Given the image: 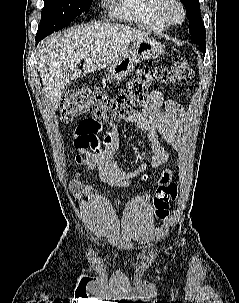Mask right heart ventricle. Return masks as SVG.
Returning a JSON list of instances; mask_svg holds the SVG:
<instances>
[{
    "instance_id": "1",
    "label": "right heart ventricle",
    "mask_w": 239,
    "mask_h": 303,
    "mask_svg": "<svg viewBox=\"0 0 239 303\" xmlns=\"http://www.w3.org/2000/svg\"><path fill=\"white\" fill-rule=\"evenodd\" d=\"M162 0H111V11L116 17L153 31H163L169 24L160 16Z\"/></svg>"
}]
</instances>
